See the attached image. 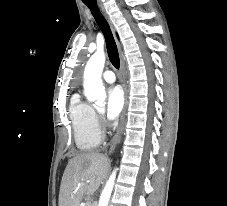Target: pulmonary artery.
<instances>
[{"label":"pulmonary artery","instance_id":"e3ab8cb5","mask_svg":"<svg viewBox=\"0 0 227 206\" xmlns=\"http://www.w3.org/2000/svg\"><path fill=\"white\" fill-rule=\"evenodd\" d=\"M103 79L104 81H106L107 83H113L116 80L115 74L113 71L111 70H107L103 73Z\"/></svg>","mask_w":227,"mask_h":206}]
</instances>
